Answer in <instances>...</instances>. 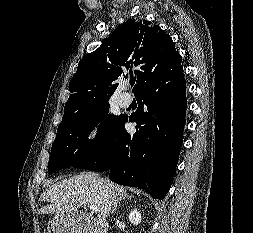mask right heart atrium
I'll use <instances>...</instances> for the list:
<instances>
[{
  "instance_id": "d8ad5b80",
  "label": "right heart atrium",
  "mask_w": 253,
  "mask_h": 233,
  "mask_svg": "<svg viewBox=\"0 0 253 233\" xmlns=\"http://www.w3.org/2000/svg\"><path fill=\"white\" fill-rule=\"evenodd\" d=\"M91 136H92V132H89L86 137H87V139H90Z\"/></svg>"
}]
</instances>
